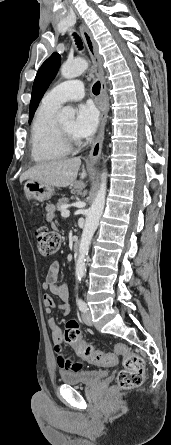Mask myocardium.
I'll list each match as a JSON object with an SVG mask.
<instances>
[{
	"label": "myocardium",
	"instance_id": "myocardium-1",
	"mask_svg": "<svg viewBox=\"0 0 171 445\" xmlns=\"http://www.w3.org/2000/svg\"><path fill=\"white\" fill-rule=\"evenodd\" d=\"M57 136L61 142V144L69 151L73 150L81 145V141L78 138L72 137L68 134L61 125L56 122L55 124Z\"/></svg>",
	"mask_w": 171,
	"mask_h": 445
}]
</instances>
